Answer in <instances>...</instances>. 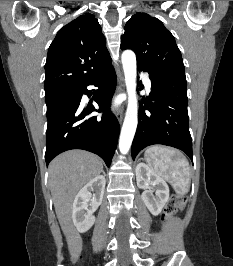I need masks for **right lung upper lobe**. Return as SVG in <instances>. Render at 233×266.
<instances>
[{"label":"right lung upper lobe","mask_w":233,"mask_h":266,"mask_svg":"<svg viewBox=\"0 0 233 266\" xmlns=\"http://www.w3.org/2000/svg\"><path fill=\"white\" fill-rule=\"evenodd\" d=\"M111 64L98 20L81 15L61 28L48 49L45 93L76 90Z\"/></svg>","instance_id":"right-lung-upper-lobe-1"}]
</instances>
